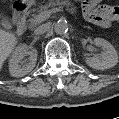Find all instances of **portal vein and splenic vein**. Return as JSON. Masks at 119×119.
I'll use <instances>...</instances> for the list:
<instances>
[{"instance_id":"obj_1","label":"portal vein and splenic vein","mask_w":119,"mask_h":119,"mask_svg":"<svg viewBox=\"0 0 119 119\" xmlns=\"http://www.w3.org/2000/svg\"><path fill=\"white\" fill-rule=\"evenodd\" d=\"M61 11H62V7H56L51 10L44 11V12L40 13L37 18L40 21H44V20L48 19L52 13L61 12Z\"/></svg>"}]
</instances>
